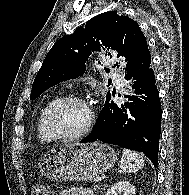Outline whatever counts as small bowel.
Listing matches in <instances>:
<instances>
[{"mask_svg": "<svg viewBox=\"0 0 189 195\" xmlns=\"http://www.w3.org/2000/svg\"><path fill=\"white\" fill-rule=\"evenodd\" d=\"M60 195H93V192L89 188L71 187L62 191Z\"/></svg>", "mask_w": 189, "mask_h": 195, "instance_id": "c3829d8e", "label": "small bowel"}]
</instances>
